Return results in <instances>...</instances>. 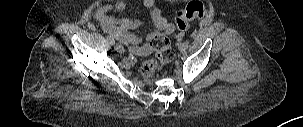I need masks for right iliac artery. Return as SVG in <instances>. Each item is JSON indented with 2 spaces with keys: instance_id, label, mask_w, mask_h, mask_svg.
<instances>
[{
  "instance_id": "obj_1",
  "label": "right iliac artery",
  "mask_w": 303,
  "mask_h": 127,
  "mask_svg": "<svg viewBox=\"0 0 303 127\" xmlns=\"http://www.w3.org/2000/svg\"><path fill=\"white\" fill-rule=\"evenodd\" d=\"M106 38H107V41H108L109 44H111V45L115 44V41L111 36L107 35Z\"/></svg>"
}]
</instances>
